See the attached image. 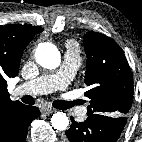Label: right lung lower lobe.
Here are the masks:
<instances>
[{"label":"right lung lower lobe","mask_w":142,"mask_h":142,"mask_svg":"<svg viewBox=\"0 0 142 142\" xmlns=\"http://www.w3.org/2000/svg\"><path fill=\"white\" fill-rule=\"evenodd\" d=\"M37 107L22 105L0 120V142H25L28 126L38 118Z\"/></svg>","instance_id":"right-lung-lower-lobe-1"}]
</instances>
